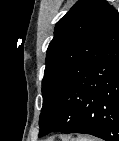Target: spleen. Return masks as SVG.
Masks as SVG:
<instances>
[{
	"instance_id": "3e777b00",
	"label": "spleen",
	"mask_w": 119,
	"mask_h": 141,
	"mask_svg": "<svg viewBox=\"0 0 119 141\" xmlns=\"http://www.w3.org/2000/svg\"><path fill=\"white\" fill-rule=\"evenodd\" d=\"M76 141H93L92 139L89 138H78Z\"/></svg>"
}]
</instances>
